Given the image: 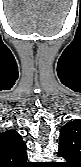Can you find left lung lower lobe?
I'll use <instances>...</instances> for the list:
<instances>
[{
    "instance_id": "left-lung-lower-lobe-1",
    "label": "left lung lower lobe",
    "mask_w": 81,
    "mask_h": 167,
    "mask_svg": "<svg viewBox=\"0 0 81 167\" xmlns=\"http://www.w3.org/2000/svg\"><path fill=\"white\" fill-rule=\"evenodd\" d=\"M61 166H63V167H70V166H68L66 163H65V164H62Z\"/></svg>"
}]
</instances>
